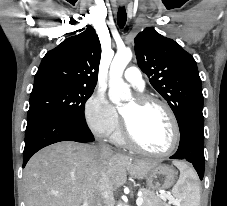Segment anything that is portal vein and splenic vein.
I'll return each instance as SVG.
<instances>
[{
  "mask_svg": "<svg viewBox=\"0 0 227 206\" xmlns=\"http://www.w3.org/2000/svg\"><path fill=\"white\" fill-rule=\"evenodd\" d=\"M161 197L163 199L168 198L169 200L172 201V203H177L178 202V201L174 200L173 197H171L170 195L165 194V193H162ZM136 204H137V206H142V204H143V198H142V193L141 192H138V198L136 200ZM82 206H89V205H88L87 202H84V204Z\"/></svg>",
  "mask_w": 227,
  "mask_h": 206,
  "instance_id": "portal-vein-and-splenic-vein-1",
  "label": "portal vein and splenic vein"
}]
</instances>
